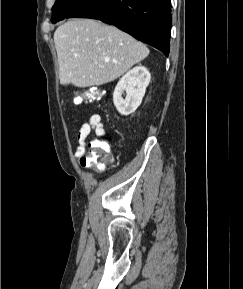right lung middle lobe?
Instances as JSON below:
<instances>
[{
  "instance_id": "obj_1",
  "label": "right lung middle lobe",
  "mask_w": 243,
  "mask_h": 289,
  "mask_svg": "<svg viewBox=\"0 0 243 289\" xmlns=\"http://www.w3.org/2000/svg\"><path fill=\"white\" fill-rule=\"evenodd\" d=\"M85 0H56L52 7L51 22L57 23L68 17V15L77 9Z\"/></svg>"
}]
</instances>
